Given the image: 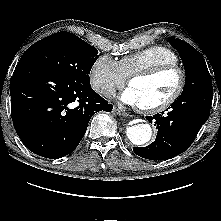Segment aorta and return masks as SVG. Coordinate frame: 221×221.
<instances>
[{
    "mask_svg": "<svg viewBox=\"0 0 221 221\" xmlns=\"http://www.w3.org/2000/svg\"><path fill=\"white\" fill-rule=\"evenodd\" d=\"M152 128L147 123L136 124L126 128L128 139L135 145H144L151 140Z\"/></svg>",
    "mask_w": 221,
    "mask_h": 221,
    "instance_id": "1",
    "label": "aorta"
}]
</instances>
